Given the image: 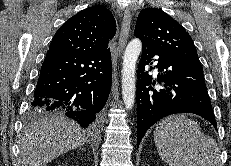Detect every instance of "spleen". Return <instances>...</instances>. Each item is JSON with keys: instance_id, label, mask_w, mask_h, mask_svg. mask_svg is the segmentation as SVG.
<instances>
[{"instance_id": "3e777b00", "label": "spleen", "mask_w": 231, "mask_h": 166, "mask_svg": "<svg viewBox=\"0 0 231 166\" xmlns=\"http://www.w3.org/2000/svg\"><path fill=\"white\" fill-rule=\"evenodd\" d=\"M154 141L169 166H222L216 141L205 136L200 125L184 114L159 121Z\"/></svg>"}]
</instances>
